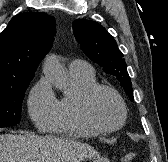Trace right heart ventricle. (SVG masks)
Instances as JSON below:
<instances>
[{"label": "right heart ventricle", "mask_w": 168, "mask_h": 162, "mask_svg": "<svg viewBox=\"0 0 168 162\" xmlns=\"http://www.w3.org/2000/svg\"><path fill=\"white\" fill-rule=\"evenodd\" d=\"M72 91L59 100V115L51 131L58 135L88 137L99 131L88 125L81 116L79 102L82 94L96 84L95 74L70 73Z\"/></svg>", "instance_id": "obj_1"}]
</instances>
